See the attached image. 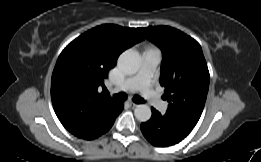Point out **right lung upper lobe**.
I'll return each instance as SVG.
<instances>
[{"label":"right lung upper lobe","mask_w":261,"mask_h":162,"mask_svg":"<svg viewBox=\"0 0 261 162\" xmlns=\"http://www.w3.org/2000/svg\"><path fill=\"white\" fill-rule=\"evenodd\" d=\"M139 28L105 24L73 40L60 54L52 74L51 99L62 125L91 140L114 122L122 103L98 92L108 71L127 48L142 41Z\"/></svg>","instance_id":"1"}]
</instances>
